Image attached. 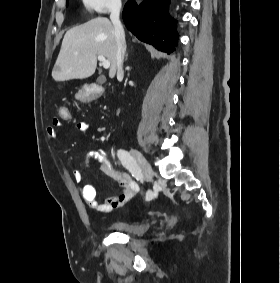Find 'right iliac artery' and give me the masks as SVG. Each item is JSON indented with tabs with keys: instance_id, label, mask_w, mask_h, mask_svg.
Here are the masks:
<instances>
[{
	"instance_id": "obj_1",
	"label": "right iliac artery",
	"mask_w": 280,
	"mask_h": 283,
	"mask_svg": "<svg viewBox=\"0 0 280 283\" xmlns=\"http://www.w3.org/2000/svg\"><path fill=\"white\" fill-rule=\"evenodd\" d=\"M117 156L121 161L122 165L132 174V176L135 177L136 180L143 183L144 182L143 174L141 172L140 167L136 163L135 159L132 157V155L126 150L119 149L117 151ZM151 197H152L151 192L148 191L145 196L146 201H150Z\"/></svg>"
}]
</instances>
